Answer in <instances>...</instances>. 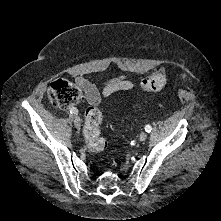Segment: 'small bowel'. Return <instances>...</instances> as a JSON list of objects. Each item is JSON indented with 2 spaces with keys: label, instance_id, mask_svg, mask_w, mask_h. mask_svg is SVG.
<instances>
[{
  "label": "small bowel",
  "instance_id": "c3829d8e",
  "mask_svg": "<svg viewBox=\"0 0 221 221\" xmlns=\"http://www.w3.org/2000/svg\"><path fill=\"white\" fill-rule=\"evenodd\" d=\"M76 83L84 91L86 100L91 105H97L100 102L101 94L107 98L116 92L129 91L135 87L134 83L126 75H120L107 80L104 83L101 94L96 86L84 77H76Z\"/></svg>",
  "mask_w": 221,
  "mask_h": 221
}]
</instances>
